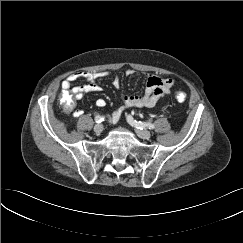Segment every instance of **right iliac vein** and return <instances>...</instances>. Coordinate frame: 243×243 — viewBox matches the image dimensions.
Instances as JSON below:
<instances>
[{
	"label": "right iliac vein",
	"instance_id": "63e3f726",
	"mask_svg": "<svg viewBox=\"0 0 243 243\" xmlns=\"http://www.w3.org/2000/svg\"><path fill=\"white\" fill-rule=\"evenodd\" d=\"M103 129H104V127H103L102 124H96V125L94 126V132H95L97 135L101 134L102 131H103Z\"/></svg>",
	"mask_w": 243,
	"mask_h": 243
}]
</instances>
